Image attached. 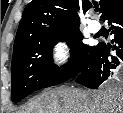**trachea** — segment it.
Here are the masks:
<instances>
[{"instance_id": "3493384b", "label": "trachea", "mask_w": 123, "mask_h": 113, "mask_svg": "<svg viewBox=\"0 0 123 113\" xmlns=\"http://www.w3.org/2000/svg\"><path fill=\"white\" fill-rule=\"evenodd\" d=\"M95 11L98 12L99 11V8L98 6L95 7Z\"/></svg>"}]
</instances>
